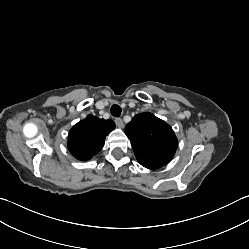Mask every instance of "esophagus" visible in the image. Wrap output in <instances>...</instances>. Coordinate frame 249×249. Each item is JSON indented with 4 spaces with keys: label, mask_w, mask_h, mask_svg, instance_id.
Segmentation results:
<instances>
[{
    "label": "esophagus",
    "mask_w": 249,
    "mask_h": 249,
    "mask_svg": "<svg viewBox=\"0 0 249 249\" xmlns=\"http://www.w3.org/2000/svg\"><path fill=\"white\" fill-rule=\"evenodd\" d=\"M115 123H116L117 127H119V128L124 127V123H123V120L121 118H116Z\"/></svg>",
    "instance_id": "esophagus-1"
}]
</instances>
